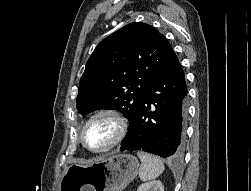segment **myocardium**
<instances>
[{
  "label": "myocardium",
  "instance_id": "f54148a6",
  "mask_svg": "<svg viewBox=\"0 0 251 191\" xmlns=\"http://www.w3.org/2000/svg\"><path fill=\"white\" fill-rule=\"evenodd\" d=\"M98 116H108L114 121V123L116 125V135H115L113 141L111 142V144L107 148H105L104 150H102L100 152H93V151L86 149L83 146L82 132H83L84 128L86 127V125L93 118L98 117ZM127 129H128V123H127L126 119L118 111H116L115 109H112V108L98 109V110L94 111L93 113H91L84 120V122L79 130L78 137H77L79 148L81 150H83L84 152H87L92 155H96V156L104 155V154L108 153L109 151H111L112 149H114L117 145H119L121 143V141L124 139V137L127 133Z\"/></svg>",
  "mask_w": 251,
  "mask_h": 191
}]
</instances>
